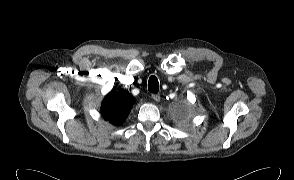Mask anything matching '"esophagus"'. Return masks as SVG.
Returning a JSON list of instances; mask_svg holds the SVG:
<instances>
[{"instance_id": "esophagus-1", "label": "esophagus", "mask_w": 294, "mask_h": 180, "mask_svg": "<svg viewBox=\"0 0 294 180\" xmlns=\"http://www.w3.org/2000/svg\"><path fill=\"white\" fill-rule=\"evenodd\" d=\"M152 99L156 102H159L161 100V97L159 94H152Z\"/></svg>"}]
</instances>
